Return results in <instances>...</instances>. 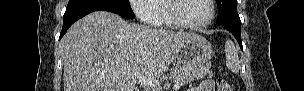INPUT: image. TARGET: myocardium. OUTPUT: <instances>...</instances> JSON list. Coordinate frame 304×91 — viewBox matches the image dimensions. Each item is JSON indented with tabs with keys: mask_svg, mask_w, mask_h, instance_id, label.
<instances>
[{
	"mask_svg": "<svg viewBox=\"0 0 304 91\" xmlns=\"http://www.w3.org/2000/svg\"><path fill=\"white\" fill-rule=\"evenodd\" d=\"M183 0H170L169 5H168V15L170 20L179 28L182 29H189V30H198V29H202L205 28L207 26H209L214 18H215V5H214V1L213 0H207L210 9H211V13L209 18L200 24H189L187 22H185L180 14H179V4L182 2Z\"/></svg>",
	"mask_w": 304,
	"mask_h": 91,
	"instance_id": "f54148a6",
	"label": "myocardium"
}]
</instances>
